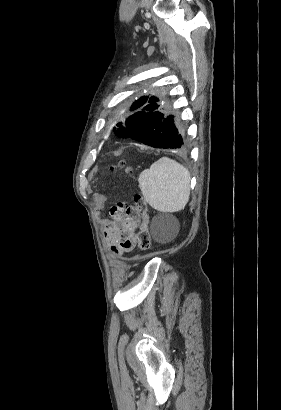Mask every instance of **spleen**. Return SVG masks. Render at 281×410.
<instances>
[{"label":"spleen","instance_id":"1","mask_svg":"<svg viewBox=\"0 0 281 410\" xmlns=\"http://www.w3.org/2000/svg\"><path fill=\"white\" fill-rule=\"evenodd\" d=\"M145 201L160 212L184 209L190 196L189 171L168 157H162L138 177Z\"/></svg>","mask_w":281,"mask_h":410}]
</instances>
